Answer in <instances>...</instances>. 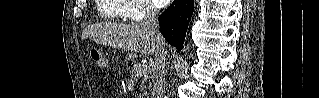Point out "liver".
<instances>
[{
  "instance_id": "1",
  "label": "liver",
  "mask_w": 319,
  "mask_h": 98,
  "mask_svg": "<svg viewBox=\"0 0 319 98\" xmlns=\"http://www.w3.org/2000/svg\"><path fill=\"white\" fill-rule=\"evenodd\" d=\"M85 38L125 51L155 54L156 43L142 23L119 24L107 22L88 26L83 31Z\"/></svg>"
}]
</instances>
